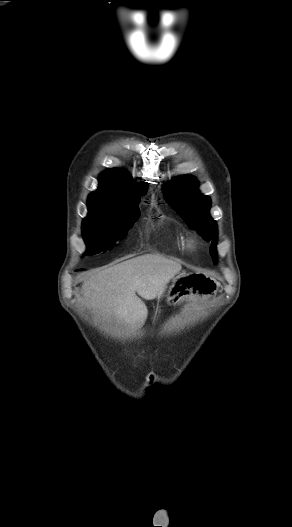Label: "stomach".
<instances>
[{
  "mask_svg": "<svg viewBox=\"0 0 292 527\" xmlns=\"http://www.w3.org/2000/svg\"><path fill=\"white\" fill-rule=\"evenodd\" d=\"M218 289V283L201 274H187L173 281L167 292L169 304H177L188 296H209Z\"/></svg>",
  "mask_w": 292,
  "mask_h": 527,
  "instance_id": "0dacf381",
  "label": "stomach"
}]
</instances>
